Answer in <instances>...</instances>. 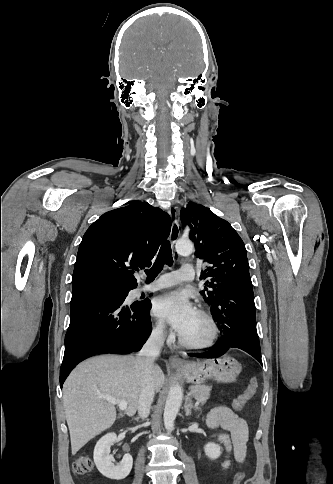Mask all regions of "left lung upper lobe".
<instances>
[{
	"instance_id": "left-lung-upper-lobe-1",
	"label": "left lung upper lobe",
	"mask_w": 333,
	"mask_h": 484,
	"mask_svg": "<svg viewBox=\"0 0 333 484\" xmlns=\"http://www.w3.org/2000/svg\"><path fill=\"white\" fill-rule=\"evenodd\" d=\"M181 221L190 227L189 237L196 244V256L207 264L201 275V279H206L201 294L212 306L226 276L249 270L245 245L226 220L203 205L189 203L181 210Z\"/></svg>"
}]
</instances>
